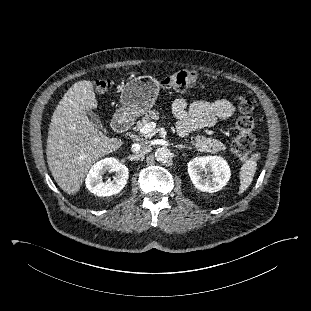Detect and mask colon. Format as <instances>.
Wrapping results in <instances>:
<instances>
[{
  "mask_svg": "<svg viewBox=\"0 0 311 311\" xmlns=\"http://www.w3.org/2000/svg\"><path fill=\"white\" fill-rule=\"evenodd\" d=\"M197 82L198 74L196 72L179 71L164 77L161 85L164 89L182 91L194 86ZM94 87L96 92L102 94L111 88V82L98 80L94 83ZM237 101L239 116L234 122L237 135L232 141V149L243 160H255L259 157V153L256 151L258 142L254 135L256 127L253 117L254 107L245 95H239Z\"/></svg>",
  "mask_w": 311,
  "mask_h": 311,
  "instance_id": "1",
  "label": "colon"
}]
</instances>
